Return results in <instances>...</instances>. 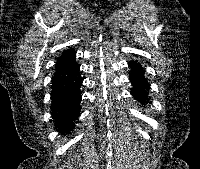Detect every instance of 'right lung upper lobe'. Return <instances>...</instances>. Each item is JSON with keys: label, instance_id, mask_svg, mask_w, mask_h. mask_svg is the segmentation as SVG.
Masks as SVG:
<instances>
[{"label": "right lung upper lobe", "instance_id": "right-lung-upper-lobe-1", "mask_svg": "<svg viewBox=\"0 0 200 169\" xmlns=\"http://www.w3.org/2000/svg\"><path fill=\"white\" fill-rule=\"evenodd\" d=\"M73 56H75V51H74L73 49H70V50H68V51H65V52L58 58L57 62L70 59V58H72Z\"/></svg>", "mask_w": 200, "mask_h": 169}]
</instances>
